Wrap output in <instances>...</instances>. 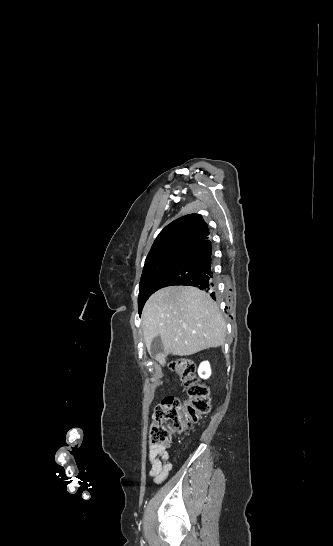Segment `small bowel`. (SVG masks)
<instances>
[{
	"label": "small bowel",
	"mask_w": 333,
	"mask_h": 546,
	"mask_svg": "<svg viewBox=\"0 0 333 546\" xmlns=\"http://www.w3.org/2000/svg\"><path fill=\"white\" fill-rule=\"evenodd\" d=\"M148 462L150 465L148 475L155 483H162L172 469L166 447L152 444L148 450Z\"/></svg>",
	"instance_id": "1"
}]
</instances>
